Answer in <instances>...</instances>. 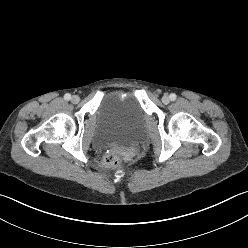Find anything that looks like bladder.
<instances>
[{
	"label": "bladder",
	"mask_w": 248,
	"mask_h": 248,
	"mask_svg": "<svg viewBox=\"0 0 248 248\" xmlns=\"http://www.w3.org/2000/svg\"><path fill=\"white\" fill-rule=\"evenodd\" d=\"M147 114L132 90H115L101 100L94 119L93 145L100 149H126L141 136Z\"/></svg>",
	"instance_id": "obj_1"
}]
</instances>
